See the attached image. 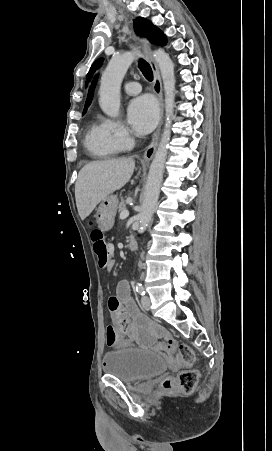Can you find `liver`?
<instances>
[{
    "label": "liver",
    "mask_w": 272,
    "mask_h": 451,
    "mask_svg": "<svg viewBox=\"0 0 272 451\" xmlns=\"http://www.w3.org/2000/svg\"><path fill=\"white\" fill-rule=\"evenodd\" d=\"M135 168L132 158L90 162L78 174L75 198L81 220L90 216L99 202L129 182Z\"/></svg>",
    "instance_id": "6515ba94"
}]
</instances>
